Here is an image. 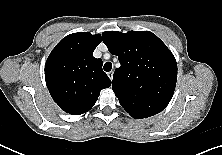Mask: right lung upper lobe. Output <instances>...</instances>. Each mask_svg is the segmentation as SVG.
<instances>
[{
	"instance_id": "right-lung-upper-lobe-1",
	"label": "right lung upper lobe",
	"mask_w": 222,
	"mask_h": 155,
	"mask_svg": "<svg viewBox=\"0 0 222 155\" xmlns=\"http://www.w3.org/2000/svg\"><path fill=\"white\" fill-rule=\"evenodd\" d=\"M101 41L100 34H70L55 46L46 61L47 88L66 113L80 115L89 111L100 91L111 85L103 72L102 60L93 57Z\"/></svg>"
}]
</instances>
